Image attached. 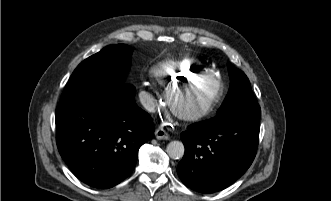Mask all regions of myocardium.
Listing matches in <instances>:
<instances>
[{
  "instance_id": "myocardium-1",
  "label": "myocardium",
  "mask_w": 331,
  "mask_h": 201,
  "mask_svg": "<svg viewBox=\"0 0 331 201\" xmlns=\"http://www.w3.org/2000/svg\"><path fill=\"white\" fill-rule=\"evenodd\" d=\"M202 80H212L214 81V89L211 92V94L196 108L192 110H182L176 106L173 100V94L174 92L184 87L190 83L193 82H199ZM223 83L222 81L215 76V74H198L191 77H188L186 79L181 80L178 83H174L170 85L166 90V101L168 104V107L170 108L171 112L176 115L178 118L185 120V121H194L198 120L207 114H209L216 104L219 102L220 98L223 94Z\"/></svg>"
}]
</instances>
